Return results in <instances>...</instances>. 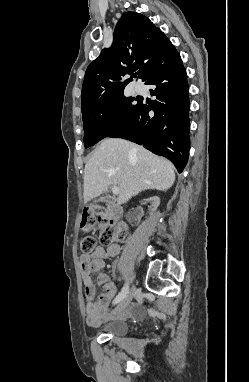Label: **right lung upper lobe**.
<instances>
[{
    "mask_svg": "<svg viewBox=\"0 0 249 382\" xmlns=\"http://www.w3.org/2000/svg\"><path fill=\"white\" fill-rule=\"evenodd\" d=\"M178 55L173 44L147 17L126 12L117 23L113 44L103 49L86 70L82 86V108L96 100L112 99L123 94L126 74L138 70L146 81L157 67L167 64Z\"/></svg>",
    "mask_w": 249,
    "mask_h": 382,
    "instance_id": "cb5924a9",
    "label": "right lung upper lobe"
}]
</instances>
